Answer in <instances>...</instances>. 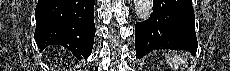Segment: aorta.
Here are the masks:
<instances>
[{"label":"aorta","instance_id":"obj_1","mask_svg":"<svg viewBox=\"0 0 230 71\" xmlns=\"http://www.w3.org/2000/svg\"><path fill=\"white\" fill-rule=\"evenodd\" d=\"M135 13L141 21H146L150 18L153 12L152 0H134Z\"/></svg>","mask_w":230,"mask_h":71}]
</instances>
